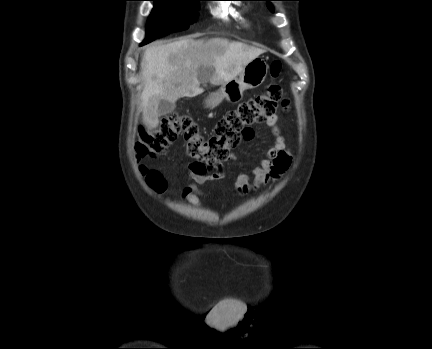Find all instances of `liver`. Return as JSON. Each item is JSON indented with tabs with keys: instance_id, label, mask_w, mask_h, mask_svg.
Here are the masks:
<instances>
[{
	"instance_id": "obj_1",
	"label": "liver",
	"mask_w": 432,
	"mask_h": 349,
	"mask_svg": "<svg viewBox=\"0 0 432 349\" xmlns=\"http://www.w3.org/2000/svg\"><path fill=\"white\" fill-rule=\"evenodd\" d=\"M264 50L242 42L216 37L207 41L186 38L146 48L141 61L145 82L142 92L143 122L149 128L159 123L161 99L176 102L204 92L201 69H212L210 82L224 83L237 77Z\"/></svg>"
}]
</instances>
